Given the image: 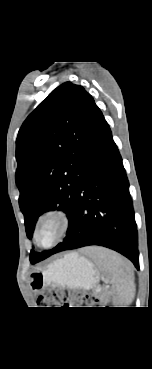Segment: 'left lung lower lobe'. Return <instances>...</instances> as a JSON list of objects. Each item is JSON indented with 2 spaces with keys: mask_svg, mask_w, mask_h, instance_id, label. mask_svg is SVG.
Masks as SVG:
<instances>
[{
  "mask_svg": "<svg viewBox=\"0 0 152 369\" xmlns=\"http://www.w3.org/2000/svg\"><path fill=\"white\" fill-rule=\"evenodd\" d=\"M76 217L55 253L100 245L126 256L139 269L138 234L122 158L103 114L97 117L83 158Z\"/></svg>",
  "mask_w": 152,
  "mask_h": 369,
  "instance_id": "left-lung-lower-lobe-1",
  "label": "left lung lower lobe"
}]
</instances>
